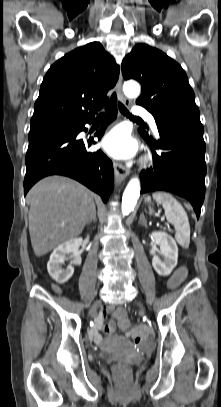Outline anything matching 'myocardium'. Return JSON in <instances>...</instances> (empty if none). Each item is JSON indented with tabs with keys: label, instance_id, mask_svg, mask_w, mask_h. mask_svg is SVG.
Segmentation results:
<instances>
[{
	"label": "myocardium",
	"instance_id": "obj_1",
	"mask_svg": "<svg viewBox=\"0 0 221 407\" xmlns=\"http://www.w3.org/2000/svg\"><path fill=\"white\" fill-rule=\"evenodd\" d=\"M151 162V158L150 157H146L143 161L144 165H148Z\"/></svg>",
	"mask_w": 221,
	"mask_h": 407
}]
</instances>
